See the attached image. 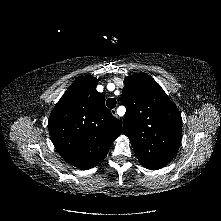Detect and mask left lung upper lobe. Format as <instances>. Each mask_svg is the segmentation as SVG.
Here are the masks:
<instances>
[{
	"label": "left lung upper lobe",
	"mask_w": 221,
	"mask_h": 221,
	"mask_svg": "<svg viewBox=\"0 0 221 221\" xmlns=\"http://www.w3.org/2000/svg\"><path fill=\"white\" fill-rule=\"evenodd\" d=\"M121 102L126 107L123 133L144 166L163 167L181 142L179 110L159 84L144 73L125 78Z\"/></svg>",
	"instance_id": "obj_1"
}]
</instances>
